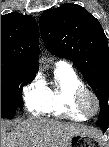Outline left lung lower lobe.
I'll return each mask as SVG.
<instances>
[{"label": "left lung lower lobe", "mask_w": 109, "mask_h": 147, "mask_svg": "<svg viewBox=\"0 0 109 147\" xmlns=\"http://www.w3.org/2000/svg\"><path fill=\"white\" fill-rule=\"evenodd\" d=\"M102 130H103V133H105L106 132V130H107V128H108V126H103V127H100Z\"/></svg>", "instance_id": "obj_1"}]
</instances>
